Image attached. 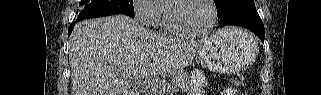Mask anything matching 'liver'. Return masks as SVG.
<instances>
[{"instance_id": "1", "label": "liver", "mask_w": 321, "mask_h": 95, "mask_svg": "<svg viewBox=\"0 0 321 95\" xmlns=\"http://www.w3.org/2000/svg\"><path fill=\"white\" fill-rule=\"evenodd\" d=\"M205 42L156 35L124 15L78 22L70 40L71 95H128L133 74L182 69Z\"/></svg>"}]
</instances>
